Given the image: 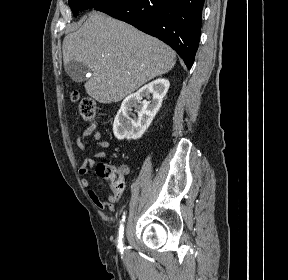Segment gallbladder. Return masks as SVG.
I'll list each match as a JSON object with an SVG mask.
<instances>
[{
  "label": "gallbladder",
  "mask_w": 288,
  "mask_h": 280,
  "mask_svg": "<svg viewBox=\"0 0 288 280\" xmlns=\"http://www.w3.org/2000/svg\"><path fill=\"white\" fill-rule=\"evenodd\" d=\"M65 72L75 82H83L87 66L77 61H70L64 65Z\"/></svg>",
  "instance_id": "1"
}]
</instances>
